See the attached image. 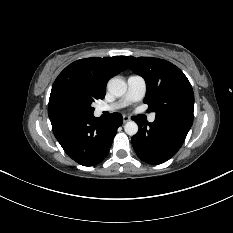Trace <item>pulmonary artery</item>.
I'll list each match as a JSON object with an SVG mask.
<instances>
[{
    "label": "pulmonary artery",
    "mask_w": 233,
    "mask_h": 233,
    "mask_svg": "<svg viewBox=\"0 0 233 233\" xmlns=\"http://www.w3.org/2000/svg\"><path fill=\"white\" fill-rule=\"evenodd\" d=\"M146 93V82L143 77L139 75H131L127 79V92L118 102L110 105H102L96 108L97 114L103 112H112L127 106L130 103L141 100ZM155 114H151L148 118L149 122H154Z\"/></svg>",
    "instance_id": "pulmonary-artery-1"
}]
</instances>
